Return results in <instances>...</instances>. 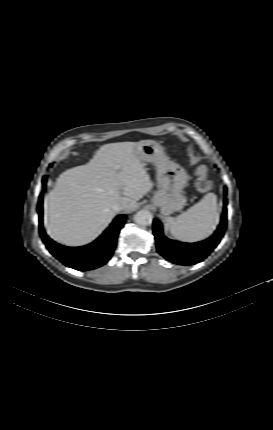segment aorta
<instances>
[{
    "label": "aorta",
    "mask_w": 273,
    "mask_h": 430,
    "mask_svg": "<svg viewBox=\"0 0 273 430\" xmlns=\"http://www.w3.org/2000/svg\"><path fill=\"white\" fill-rule=\"evenodd\" d=\"M152 213L147 210L138 211L134 216V221L141 226H147L152 223Z\"/></svg>",
    "instance_id": "762f6f07"
}]
</instances>
